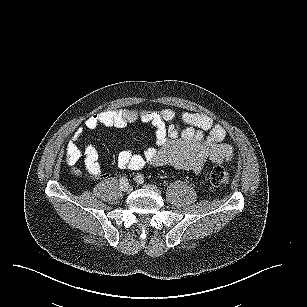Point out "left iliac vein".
Returning <instances> with one entry per match:
<instances>
[{
    "label": "left iliac vein",
    "instance_id": "1",
    "mask_svg": "<svg viewBox=\"0 0 307 307\" xmlns=\"http://www.w3.org/2000/svg\"><path fill=\"white\" fill-rule=\"evenodd\" d=\"M143 187L146 188V189H150V190L159 192V189L155 185L145 184V185H143Z\"/></svg>",
    "mask_w": 307,
    "mask_h": 307
}]
</instances>
